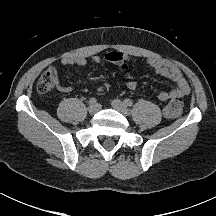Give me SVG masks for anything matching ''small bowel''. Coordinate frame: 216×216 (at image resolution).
I'll list each match as a JSON object with an SVG mask.
<instances>
[{"label": "small bowel", "instance_id": "c3829d8e", "mask_svg": "<svg viewBox=\"0 0 216 216\" xmlns=\"http://www.w3.org/2000/svg\"><path fill=\"white\" fill-rule=\"evenodd\" d=\"M130 59L131 56L122 51H111L103 56H94L92 58L95 63L106 61L116 65H123ZM146 62L156 74L168 78L176 85V87L170 91H161L158 94V99L160 101L166 102L173 98H183L189 94L190 87L178 67L157 57H147ZM61 64L63 66L83 67L87 64V60L84 57H66L61 60ZM49 69L56 70L54 67H50ZM127 87L128 89L135 91L138 88V83L134 80H130L127 82ZM58 90L61 92H69L70 88L59 85Z\"/></svg>", "mask_w": 216, "mask_h": 216}]
</instances>
